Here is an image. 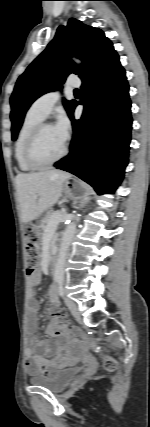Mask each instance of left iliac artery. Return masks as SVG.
<instances>
[{
	"mask_svg": "<svg viewBox=\"0 0 150 427\" xmlns=\"http://www.w3.org/2000/svg\"><path fill=\"white\" fill-rule=\"evenodd\" d=\"M57 290H58V293H59L60 296L64 295V288L62 286V283H59V286H58Z\"/></svg>",
	"mask_w": 150,
	"mask_h": 427,
	"instance_id": "left-iliac-artery-1",
	"label": "left iliac artery"
}]
</instances>
